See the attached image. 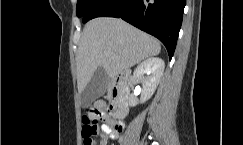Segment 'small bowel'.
<instances>
[{"mask_svg": "<svg viewBox=\"0 0 243 145\" xmlns=\"http://www.w3.org/2000/svg\"><path fill=\"white\" fill-rule=\"evenodd\" d=\"M95 106L101 111V120L104 121V124L101 126L99 145H106L108 139L118 137V132L120 131L113 130L112 125L114 122L102 111L106 107V103L99 100L96 102Z\"/></svg>", "mask_w": 243, "mask_h": 145, "instance_id": "1", "label": "small bowel"}]
</instances>
